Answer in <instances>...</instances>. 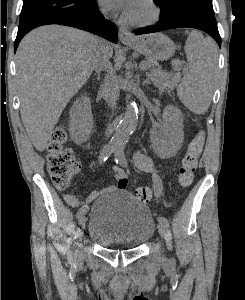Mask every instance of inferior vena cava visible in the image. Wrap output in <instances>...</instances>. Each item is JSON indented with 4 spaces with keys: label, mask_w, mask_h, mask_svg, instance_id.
<instances>
[{
    "label": "inferior vena cava",
    "mask_w": 245,
    "mask_h": 300,
    "mask_svg": "<svg viewBox=\"0 0 245 300\" xmlns=\"http://www.w3.org/2000/svg\"><path fill=\"white\" fill-rule=\"evenodd\" d=\"M102 55V56H101ZM93 69L98 70V72L105 70V95L108 100L109 106L114 110L117 107V101L119 99V89L117 86V76L113 69L111 63L105 58L100 47V43L97 44V49L95 51L93 59Z\"/></svg>",
    "instance_id": "602c4592"
}]
</instances>
